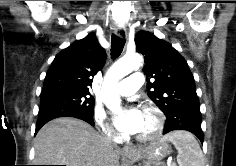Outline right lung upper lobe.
I'll list each match as a JSON object with an SVG mask.
<instances>
[{
  "instance_id": "right-lung-upper-lobe-1",
  "label": "right lung upper lobe",
  "mask_w": 236,
  "mask_h": 166,
  "mask_svg": "<svg viewBox=\"0 0 236 166\" xmlns=\"http://www.w3.org/2000/svg\"><path fill=\"white\" fill-rule=\"evenodd\" d=\"M105 60V50L99 45L96 36L90 33L56 55L42 91L60 87L89 92L88 86L92 85L90 77L102 69Z\"/></svg>"
}]
</instances>
